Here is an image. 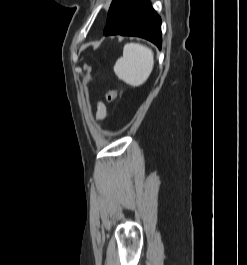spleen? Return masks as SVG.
I'll use <instances>...</instances> for the list:
<instances>
[{
	"mask_svg": "<svg viewBox=\"0 0 247 265\" xmlns=\"http://www.w3.org/2000/svg\"><path fill=\"white\" fill-rule=\"evenodd\" d=\"M154 65L152 50L139 43H127L123 49V57L114 65V72L119 79L133 87L146 82Z\"/></svg>",
	"mask_w": 247,
	"mask_h": 265,
	"instance_id": "spleen-1",
	"label": "spleen"
}]
</instances>
